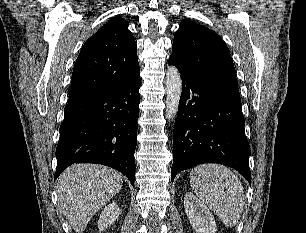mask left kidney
<instances>
[{"instance_id": "5707ae66", "label": "left kidney", "mask_w": 306, "mask_h": 233, "mask_svg": "<svg viewBox=\"0 0 306 233\" xmlns=\"http://www.w3.org/2000/svg\"><path fill=\"white\" fill-rule=\"evenodd\" d=\"M185 213L196 233H215L217 231L213 214L207 206L191 192L184 196Z\"/></svg>"}]
</instances>
